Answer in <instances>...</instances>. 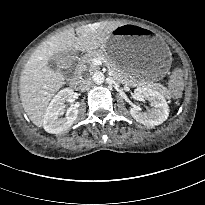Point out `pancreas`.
<instances>
[{
	"mask_svg": "<svg viewBox=\"0 0 205 205\" xmlns=\"http://www.w3.org/2000/svg\"><path fill=\"white\" fill-rule=\"evenodd\" d=\"M95 58L101 60L106 65V67L111 72V75L116 81L121 82L125 85H129V86H142L145 84V83L136 81L133 77H131L127 73L120 70L116 66V64L113 63V61H111L105 54L99 51L89 52L82 58L81 65L83 69L89 70L90 72L96 71L98 69V66L94 65L92 62V60ZM149 86L154 89H160L158 85H149Z\"/></svg>",
	"mask_w": 205,
	"mask_h": 205,
	"instance_id": "cf45deb5",
	"label": "pancreas"
}]
</instances>
